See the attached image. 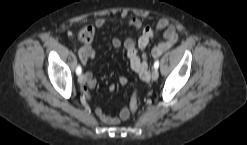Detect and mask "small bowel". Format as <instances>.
I'll return each instance as SVG.
<instances>
[{"mask_svg":"<svg viewBox=\"0 0 247 145\" xmlns=\"http://www.w3.org/2000/svg\"><path fill=\"white\" fill-rule=\"evenodd\" d=\"M125 16V14H123ZM106 25V19L103 17H98L94 21V26L96 29H102ZM128 26L136 30H142V34L138 40L128 38L122 41L119 38H113L112 46L116 49L122 46L126 50L127 58L129 59L131 69L137 74V76L143 81H149L150 70L148 67V60L145 54V49L149 43L155 38L156 34L163 32L164 40L156 43L152 48L153 57L160 56L163 52L171 48L178 41V31L175 23L167 18L160 19L154 28L146 26L138 18H131L128 20ZM79 56L81 62L86 65L89 60L94 59L95 51L90 43H85L79 50ZM86 82L81 88L82 94L89 98V89L94 88L97 84V80L91 72L85 74ZM119 82L121 85H126L128 80L124 76H120ZM116 89L115 85H110L109 90L114 91ZM126 110H122L119 116H110L103 112L100 106H96L95 113L97 117L105 124L115 125L121 120L126 119Z\"/></svg>","mask_w":247,"mask_h":145,"instance_id":"c3829d8e","label":"small bowel"}]
</instances>
